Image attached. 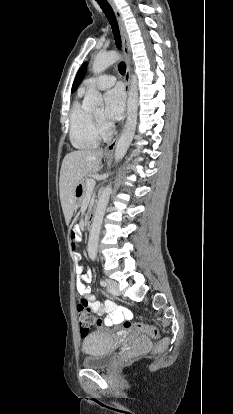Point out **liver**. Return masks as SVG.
Instances as JSON below:
<instances>
[{"instance_id": "liver-1", "label": "liver", "mask_w": 233, "mask_h": 414, "mask_svg": "<svg viewBox=\"0 0 233 414\" xmlns=\"http://www.w3.org/2000/svg\"><path fill=\"white\" fill-rule=\"evenodd\" d=\"M103 150L90 148L68 153L62 162L59 190L65 221H71L75 209V189L83 178L101 168Z\"/></svg>"}]
</instances>
